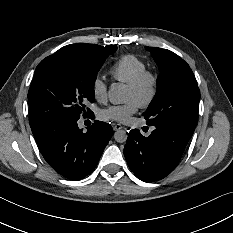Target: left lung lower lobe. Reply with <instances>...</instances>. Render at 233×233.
<instances>
[{
  "instance_id": "left-lung-lower-lobe-1",
  "label": "left lung lower lobe",
  "mask_w": 233,
  "mask_h": 233,
  "mask_svg": "<svg viewBox=\"0 0 233 233\" xmlns=\"http://www.w3.org/2000/svg\"><path fill=\"white\" fill-rule=\"evenodd\" d=\"M193 132L184 127H155L144 137L139 130H131L124 148L131 171L144 182L163 179L178 165Z\"/></svg>"
}]
</instances>
